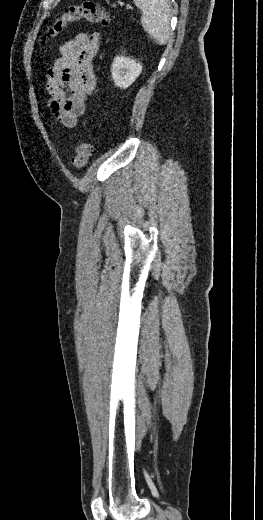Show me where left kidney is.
Segmentation results:
<instances>
[{"instance_id":"obj_1","label":"left kidney","mask_w":263,"mask_h":520,"mask_svg":"<svg viewBox=\"0 0 263 520\" xmlns=\"http://www.w3.org/2000/svg\"><path fill=\"white\" fill-rule=\"evenodd\" d=\"M142 65L135 60L126 57H115L111 73L115 86L126 89L141 74Z\"/></svg>"}]
</instances>
